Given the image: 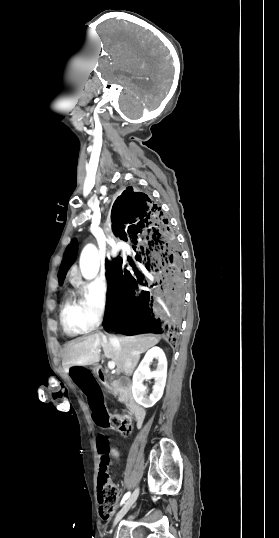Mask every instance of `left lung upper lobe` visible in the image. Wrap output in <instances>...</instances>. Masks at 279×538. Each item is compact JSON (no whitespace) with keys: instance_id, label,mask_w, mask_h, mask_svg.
<instances>
[{"instance_id":"5c2ea615","label":"left lung upper lobe","mask_w":279,"mask_h":538,"mask_svg":"<svg viewBox=\"0 0 279 538\" xmlns=\"http://www.w3.org/2000/svg\"><path fill=\"white\" fill-rule=\"evenodd\" d=\"M77 252H78V243H77V240L74 239V240H72L70 245L67 247V249H66V251L64 253V256H63V261H62V264H61V270L59 271V274H58L60 285H62V283H63V281L65 279V275L67 273V270L72 265V263L75 261Z\"/></svg>"}]
</instances>
